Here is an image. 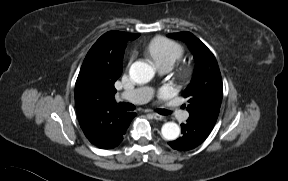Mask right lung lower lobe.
<instances>
[{"mask_svg": "<svg viewBox=\"0 0 288 181\" xmlns=\"http://www.w3.org/2000/svg\"><path fill=\"white\" fill-rule=\"evenodd\" d=\"M136 116V113L134 112H128L127 114V119H126V123L123 127V130L121 131V134H120V141L119 143L123 140V136L124 134L126 133V130H127V127L129 126L130 122L132 121V119ZM118 143V144H119Z\"/></svg>", "mask_w": 288, "mask_h": 181, "instance_id": "1", "label": "right lung lower lobe"}]
</instances>
